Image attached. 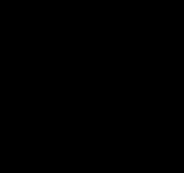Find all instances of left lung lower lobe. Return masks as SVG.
Listing matches in <instances>:
<instances>
[{"mask_svg": "<svg viewBox=\"0 0 184 173\" xmlns=\"http://www.w3.org/2000/svg\"><path fill=\"white\" fill-rule=\"evenodd\" d=\"M99 143L102 153L113 165L128 168L146 160L158 141H149L126 125L113 127L104 122L99 133Z\"/></svg>", "mask_w": 184, "mask_h": 173, "instance_id": "0a47b994", "label": "left lung lower lobe"}]
</instances>
